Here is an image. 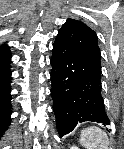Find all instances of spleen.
Instances as JSON below:
<instances>
[{
    "instance_id": "spleen-1",
    "label": "spleen",
    "mask_w": 124,
    "mask_h": 149,
    "mask_svg": "<svg viewBox=\"0 0 124 149\" xmlns=\"http://www.w3.org/2000/svg\"><path fill=\"white\" fill-rule=\"evenodd\" d=\"M80 142L86 149H107L108 145L107 136L100 129L94 127L82 131Z\"/></svg>"
}]
</instances>
